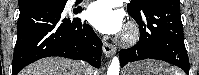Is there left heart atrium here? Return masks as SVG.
I'll list each match as a JSON object with an SVG mask.
<instances>
[{"label": "left heart atrium", "instance_id": "left-heart-atrium-1", "mask_svg": "<svg viewBox=\"0 0 199 75\" xmlns=\"http://www.w3.org/2000/svg\"><path fill=\"white\" fill-rule=\"evenodd\" d=\"M88 21L100 32L115 34L123 28V17L109 1L91 4L86 13Z\"/></svg>", "mask_w": 199, "mask_h": 75}]
</instances>
